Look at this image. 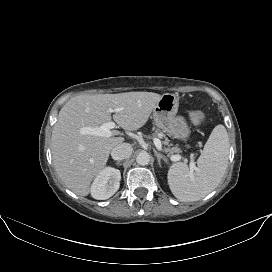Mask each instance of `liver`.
Returning a JSON list of instances; mask_svg holds the SVG:
<instances>
[{"mask_svg": "<svg viewBox=\"0 0 272 272\" xmlns=\"http://www.w3.org/2000/svg\"><path fill=\"white\" fill-rule=\"evenodd\" d=\"M161 95L152 92L79 95L60 110L51 137L55 169L63 183L79 196H87L92 180L105 168L111 150L124 138L82 134L84 127H99L112 119L109 109L119 108L113 120L126 131L147 122Z\"/></svg>", "mask_w": 272, "mask_h": 272, "instance_id": "6515ba94", "label": "liver"}]
</instances>
